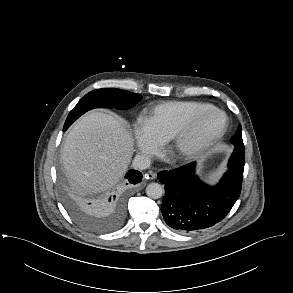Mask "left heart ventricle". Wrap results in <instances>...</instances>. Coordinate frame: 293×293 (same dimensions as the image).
I'll return each mask as SVG.
<instances>
[{"mask_svg": "<svg viewBox=\"0 0 293 293\" xmlns=\"http://www.w3.org/2000/svg\"><path fill=\"white\" fill-rule=\"evenodd\" d=\"M222 118L218 113L210 112L199 122L195 132L194 139L203 138L214 132L221 124Z\"/></svg>", "mask_w": 293, "mask_h": 293, "instance_id": "left-heart-ventricle-1", "label": "left heart ventricle"}]
</instances>
